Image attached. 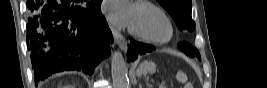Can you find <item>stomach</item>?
Instances as JSON below:
<instances>
[{
	"mask_svg": "<svg viewBox=\"0 0 267 88\" xmlns=\"http://www.w3.org/2000/svg\"><path fill=\"white\" fill-rule=\"evenodd\" d=\"M142 74L146 75L148 73H154L156 70V65L154 62H143L140 65Z\"/></svg>",
	"mask_w": 267,
	"mask_h": 88,
	"instance_id": "0dacf381",
	"label": "stomach"
}]
</instances>
